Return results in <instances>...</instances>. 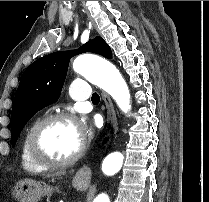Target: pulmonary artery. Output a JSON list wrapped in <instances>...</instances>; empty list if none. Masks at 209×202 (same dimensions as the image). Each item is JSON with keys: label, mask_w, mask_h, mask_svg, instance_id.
Returning a JSON list of instances; mask_svg holds the SVG:
<instances>
[{"label": "pulmonary artery", "mask_w": 209, "mask_h": 202, "mask_svg": "<svg viewBox=\"0 0 209 202\" xmlns=\"http://www.w3.org/2000/svg\"><path fill=\"white\" fill-rule=\"evenodd\" d=\"M69 89L74 100H87L90 99L89 82L86 79H76L70 83Z\"/></svg>", "instance_id": "pulmonary-artery-1"}]
</instances>
